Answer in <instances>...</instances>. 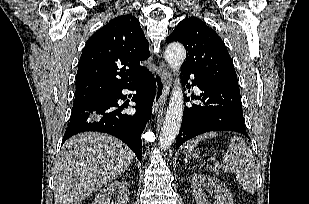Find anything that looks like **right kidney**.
Masks as SVG:
<instances>
[{"mask_svg":"<svg viewBox=\"0 0 309 204\" xmlns=\"http://www.w3.org/2000/svg\"><path fill=\"white\" fill-rule=\"evenodd\" d=\"M117 194L113 201L112 196ZM129 195V183L125 180L115 181L106 185L96 196L93 204H127Z\"/></svg>","mask_w":309,"mask_h":204,"instance_id":"obj_1","label":"right kidney"}]
</instances>
